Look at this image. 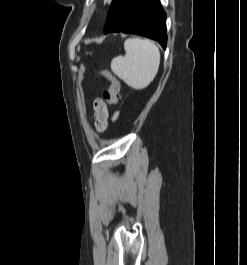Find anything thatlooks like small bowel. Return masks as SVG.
I'll use <instances>...</instances> for the list:
<instances>
[{
  "instance_id": "1",
  "label": "small bowel",
  "mask_w": 247,
  "mask_h": 265,
  "mask_svg": "<svg viewBox=\"0 0 247 265\" xmlns=\"http://www.w3.org/2000/svg\"><path fill=\"white\" fill-rule=\"evenodd\" d=\"M94 109V118H95V127L99 132L105 131L108 125V108L106 102L101 99L97 98L94 100L93 103ZM118 113H115L113 119H117Z\"/></svg>"
}]
</instances>
